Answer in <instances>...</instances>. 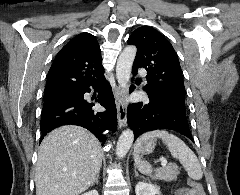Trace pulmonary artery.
Segmentation results:
<instances>
[{"label": "pulmonary artery", "mask_w": 240, "mask_h": 195, "mask_svg": "<svg viewBox=\"0 0 240 195\" xmlns=\"http://www.w3.org/2000/svg\"><path fill=\"white\" fill-rule=\"evenodd\" d=\"M138 75L139 76H144L145 75V70L144 69H139L138 70Z\"/></svg>", "instance_id": "e3ab8cb5"}]
</instances>
